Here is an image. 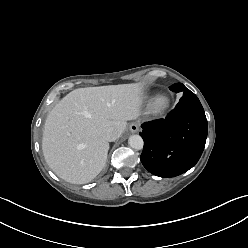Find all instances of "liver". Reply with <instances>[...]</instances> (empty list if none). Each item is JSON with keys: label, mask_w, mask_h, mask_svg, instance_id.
I'll list each match as a JSON object with an SVG mask.
<instances>
[{"label": "liver", "mask_w": 248, "mask_h": 248, "mask_svg": "<svg viewBox=\"0 0 248 248\" xmlns=\"http://www.w3.org/2000/svg\"><path fill=\"white\" fill-rule=\"evenodd\" d=\"M143 84L87 87L67 94L48 114L42 139L44 158L61 179L84 184L94 179L107 160L109 143L104 129L124 132L137 119Z\"/></svg>", "instance_id": "6515ba94"}]
</instances>
